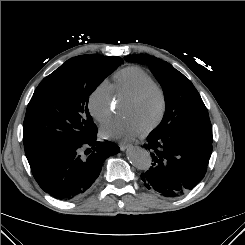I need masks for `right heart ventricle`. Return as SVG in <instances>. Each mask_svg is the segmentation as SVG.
<instances>
[{
    "instance_id": "1",
    "label": "right heart ventricle",
    "mask_w": 245,
    "mask_h": 245,
    "mask_svg": "<svg viewBox=\"0 0 245 245\" xmlns=\"http://www.w3.org/2000/svg\"><path fill=\"white\" fill-rule=\"evenodd\" d=\"M153 81L151 75L138 66H128L113 75V91L118 98H126L141 85Z\"/></svg>"
}]
</instances>
